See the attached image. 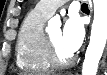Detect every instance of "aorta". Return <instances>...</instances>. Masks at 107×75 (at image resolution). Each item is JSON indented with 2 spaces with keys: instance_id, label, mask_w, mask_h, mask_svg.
Wrapping results in <instances>:
<instances>
[{
  "instance_id": "obj_1",
  "label": "aorta",
  "mask_w": 107,
  "mask_h": 75,
  "mask_svg": "<svg viewBox=\"0 0 107 75\" xmlns=\"http://www.w3.org/2000/svg\"><path fill=\"white\" fill-rule=\"evenodd\" d=\"M93 4L94 20L82 66V75H96L107 43V0H93Z\"/></svg>"
}]
</instances>
